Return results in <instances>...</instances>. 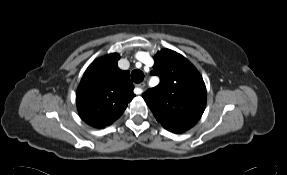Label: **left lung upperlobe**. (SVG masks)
Returning a JSON list of instances; mask_svg holds the SVG:
<instances>
[{"instance_id": "obj_1", "label": "left lung upper lobe", "mask_w": 287, "mask_h": 175, "mask_svg": "<svg viewBox=\"0 0 287 175\" xmlns=\"http://www.w3.org/2000/svg\"><path fill=\"white\" fill-rule=\"evenodd\" d=\"M161 83L142 97L162 126L174 133L192 128L206 106V87L197 69L181 54L165 49L154 56Z\"/></svg>"}]
</instances>
